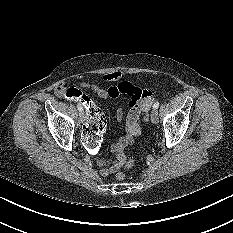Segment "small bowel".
<instances>
[{
	"instance_id": "c3829d8e",
	"label": "small bowel",
	"mask_w": 233,
	"mask_h": 233,
	"mask_svg": "<svg viewBox=\"0 0 233 233\" xmlns=\"http://www.w3.org/2000/svg\"><path fill=\"white\" fill-rule=\"evenodd\" d=\"M122 73L120 71L110 72L100 78V82H118V84L104 87L97 83L82 82L81 87L93 90L102 99H114L120 96H127L130 99L128 104V112L125 115L123 109L117 111V119L124 121L125 133L114 141L111 145V151L116 155L122 153L124 149L132 144L134 138L141 134L140 117L144 112H147L153 102V92L150 89H142L130 82L120 81ZM69 88L67 83H60L55 93L58 96L64 97V91ZM85 130V128H84ZM96 164L100 169L102 176H108L116 173L120 165L117 162L109 163L104 158L98 157Z\"/></svg>"
}]
</instances>
